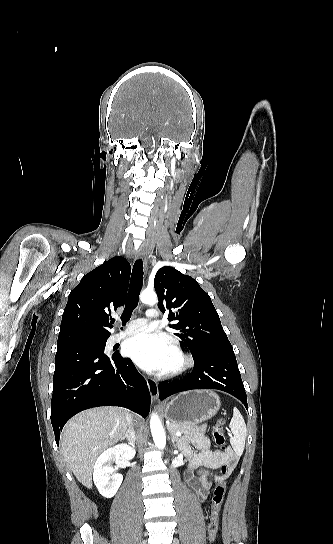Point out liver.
<instances>
[{"label":"liver","mask_w":333,"mask_h":544,"mask_svg":"<svg viewBox=\"0 0 333 544\" xmlns=\"http://www.w3.org/2000/svg\"><path fill=\"white\" fill-rule=\"evenodd\" d=\"M127 422L123 409L93 408L79 413L65 426L61 452L82 485L92 488L96 459L109 446L123 440Z\"/></svg>","instance_id":"1"}]
</instances>
